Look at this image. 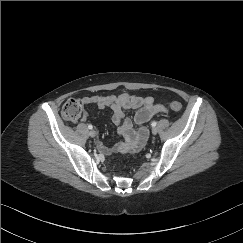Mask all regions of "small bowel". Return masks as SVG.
<instances>
[{"label": "small bowel", "mask_w": 243, "mask_h": 243, "mask_svg": "<svg viewBox=\"0 0 243 243\" xmlns=\"http://www.w3.org/2000/svg\"><path fill=\"white\" fill-rule=\"evenodd\" d=\"M84 105L95 104L99 108H110L113 111L112 120L118 126V134L122 140L113 145L107 146L98 143L100 152L106 155L125 152H137L142 149L146 141V133L143 128L135 130L131 118L125 112L136 109L134 122L142 126L156 114H167L168 110L161 104L155 102L151 96H140L123 92L117 95H91L81 99ZM90 118L87 111L81 116V120L86 122Z\"/></svg>", "instance_id": "c3829d8e"}]
</instances>
